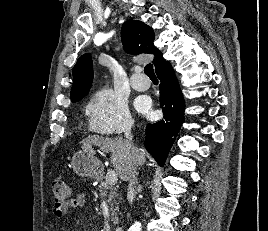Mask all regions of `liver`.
I'll use <instances>...</instances> for the list:
<instances>
[{"label":"liver","mask_w":268,"mask_h":231,"mask_svg":"<svg viewBox=\"0 0 268 231\" xmlns=\"http://www.w3.org/2000/svg\"><path fill=\"white\" fill-rule=\"evenodd\" d=\"M92 146L99 147L104 152H111V162L115 171L122 180H127L128 173L133 166L131 150L127 142L122 138H104L96 135L88 136L82 140V149L95 153ZM140 152V162L145 161L146 151L138 149Z\"/></svg>","instance_id":"liver-1"}]
</instances>
